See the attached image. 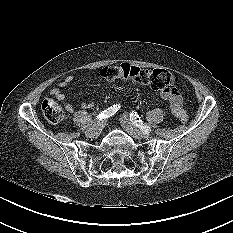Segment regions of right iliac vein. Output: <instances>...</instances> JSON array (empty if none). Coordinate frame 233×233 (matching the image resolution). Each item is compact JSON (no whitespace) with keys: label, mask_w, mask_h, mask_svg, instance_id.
<instances>
[{"label":"right iliac vein","mask_w":233,"mask_h":233,"mask_svg":"<svg viewBox=\"0 0 233 233\" xmlns=\"http://www.w3.org/2000/svg\"><path fill=\"white\" fill-rule=\"evenodd\" d=\"M103 128H104V121H97L86 130L85 134L89 137H97L100 135Z\"/></svg>","instance_id":"1"}]
</instances>
